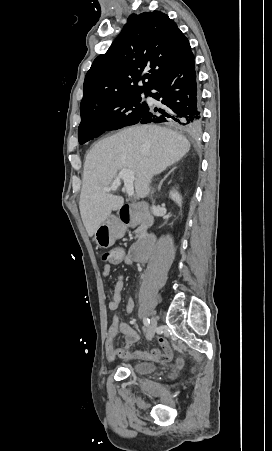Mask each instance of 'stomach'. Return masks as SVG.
Returning <instances> with one entry per match:
<instances>
[{"instance_id":"1","label":"stomach","mask_w":272,"mask_h":451,"mask_svg":"<svg viewBox=\"0 0 272 451\" xmlns=\"http://www.w3.org/2000/svg\"><path fill=\"white\" fill-rule=\"evenodd\" d=\"M94 239L100 247H111L115 241L113 231L108 224H101L94 233Z\"/></svg>"}]
</instances>
